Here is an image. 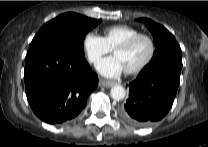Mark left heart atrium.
<instances>
[{"label":"left heart atrium","instance_id":"left-heart-atrium-1","mask_svg":"<svg viewBox=\"0 0 208 147\" xmlns=\"http://www.w3.org/2000/svg\"><path fill=\"white\" fill-rule=\"evenodd\" d=\"M97 70L105 77L115 78L121 75L125 68L121 60L114 55L100 61L97 65Z\"/></svg>","mask_w":208,"mask_h":147}]
</instances>
